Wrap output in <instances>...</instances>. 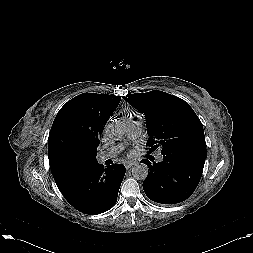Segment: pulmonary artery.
<instances>
[{
  "label": "pulmonary artery",
  "instance_id": "1",
  "mask_svg": "<svg viewBox=\"0 0 253 253\" xmlns=\"http://www.w3.org/2000/svg\"><path fill=\"white\" fill-rule=\"evenodd\" d=\"M126 126L128 129V133L130 138H137L140 136L142 132V119L140 116H136L132 119L125 120ZM121 146H116L114 148H111L110 150L104 151L98 155V161L103 162L109 158H112L116 155V153L121 149ZM159 161H162L164 159L163 155L159 154L157 156Z\"/></svg>",
  "mask_w": 253,
  "mask_h": 253
}]
</instances>
